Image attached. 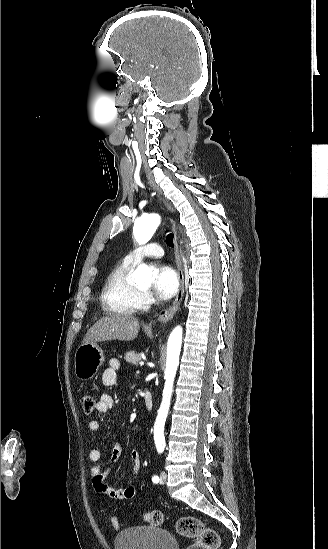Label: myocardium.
Wrapping results in <instances>:
<instances>
[{
    "label": "myocardium",
    "mask_w": 328,
    "mask_h": 549,
    "mask_svg": "<svg viewBox=\"0 0 328 549\" xmlns=\"http://www.w3.org/2000/svg\"><path fill=\"white\" fill-rule=\"evenodd\" d=\"M149 267H151V266L149 265ZM151 268H152V267H151ZM137 289H138V290H139V292H140L141 294H143V295H144V294L146 293V291H145V290H142V289H141V288H139V287H137Z\"/></svg>",
    "instance_id": "1"
}]
</instances>
